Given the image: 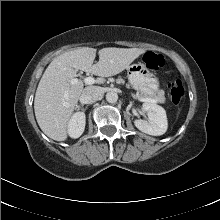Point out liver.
Masks as SVG:
<instances>
[{
  "instance_id": "obj_1",
  "label": "liver",
  "mask_w": 220,
  "mask_h": 220,
  "mask_svg": "<svg viewBox=\"0 0 220 220\" xmlns=\"http://www.w3.org/2000/svg\"><path fill=\"white\" fill-rule=\"evenodd\" d=\"M140 48L109 47L99 50V61L93 64L96 49L81 47L65 52L52 60L36 90L34 111L41 130L51 139L65 141L69 120L83 91V82L76 78L82 70L99 76L96 82L114 76L145 53ZM72 80H76L73 84Z\"/></svg>"
}]
</instances>
